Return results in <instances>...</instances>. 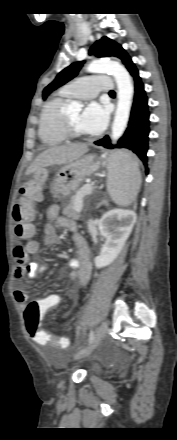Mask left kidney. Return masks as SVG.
<instances>
[{"label":"left kidney","instance_id":"1","mask_svg":"<svg viewBox=\"0 0 177 440\" xmlns=\"http://www.w3.org/2000/svg\"><path fill=\"white\" fill-rule=\"evenodd\" d=\"M133 216L131 212L122 209H113L103 215L99 222L100 230L111 228L113 233L103 245L100 255L94 259L96 268L105 267L118 257L132 231L133 223L130 219Z\"/></svg>","mask_w":177,"mask_h":440}]
</instances>
